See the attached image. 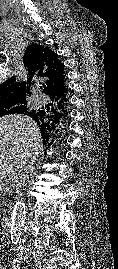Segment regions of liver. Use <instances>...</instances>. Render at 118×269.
<instances>
[{
    "instance_id": "liver-1",
    "label": "liver",
    "mask_w": 118,
    "mask_h": 269,
    "mask_svg": "<svg viewBox=\"0 0 118 269\" xmlns=\"http://www.w3.org/2000/svg\"><path fill=\"white\" fill-rule=\"evenodd\" d=\"M42 150L40 129L32 118L19 114L0 118V177L15 174L22 161H35Z\"/></svg>"
}]
</instances>
